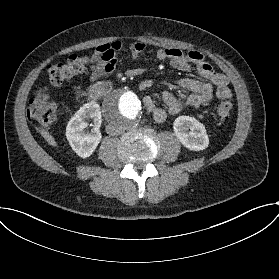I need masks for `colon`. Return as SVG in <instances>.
<instances>
[{
    "label": "colon",
    "mask_w": 279,
    "mask_h": 279,
    "mask_svg": "<svg viewBox=\"0 0 279 279\" xmlns=\"http://www.w3.org/2000/svg\"><path fill=\"white\" fill-rule=\"evenodd\" d=\"M87 56L71 55L63 62L48 65L47 74L49 81L54 86L63 84L67 79L82 74L89 65ZM29 115L44 126L52 125L57 113V105L50 98L49 93L41 89L29 101ZM233 110V105L228 99H221L216 105V119L226 120Z\"/></svg>",
    "instance_id": "5ec220e1"
}]
</instances>
